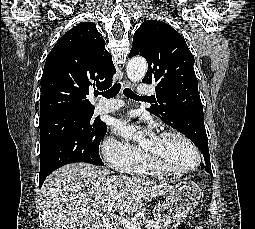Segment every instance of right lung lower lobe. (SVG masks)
Masks as SVG:
<instances>
[{
  "instance_id": "98d812e1",
  "label": "right lung lower lobe",
  "mask_w": 255,
  "mask_h": 229,
  "mask_svg": "<svg viewBox=\"0 0 255 229\" xmlns=\"http://www.w3.org/2000/svg\"><path fill=\"white\" fill-rule=\"evenodd\" d=\"M102 165H104V164H102ZM49 174H50V173L40 174V180H39L40 188H41V186L43 185V182L45 181L46 177H47Z\"/></svg>"
}]
</instances>
